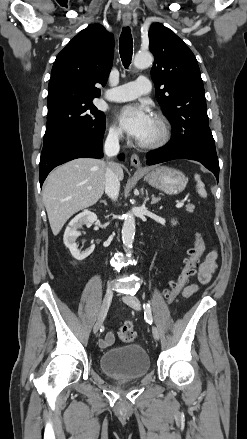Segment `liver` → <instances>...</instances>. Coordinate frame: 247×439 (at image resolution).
<instances>
[{
    "label": "liver",
    "mask_w": 247,
    "mask_h": 439,
    "mask_svg": "<svg viewBox=\"0 0 247 439\" xmlns=\"http://www.w3.org/2000/svg\"><path fill=\"white\" fill-rule=\"evenodd\" d=\"M107 164L103 160L79 158L52 171L43 187V202L50 227L56 236L76 212L94 205L103 195ZM119 180L123 170L117 164Z\"/></svg>",
    "instance_id": "liver-1"
}]
</instances>
